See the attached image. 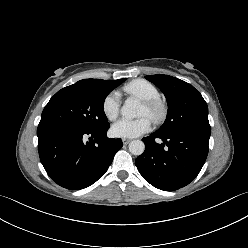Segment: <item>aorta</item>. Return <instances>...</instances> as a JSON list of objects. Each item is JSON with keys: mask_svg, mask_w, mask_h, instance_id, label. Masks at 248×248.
I'll return each mask as SVG.
<instances>
[{"mask_svg": "<svg viewBox=\"0 0 248 248\" xmlns=\"http://www.w3.org/2000/svg\"><path fill=\"white\" fill-rule=\"evenodd\" d=\"M122 115L126 118H135L140 114V103L137 99L128 98L121 109ZM131 154L139 156L145 150V144L141 140H133L129 143Z\"/></svg>", "mask_w": 248, "mask_h": 248, "instance_id": "762f6f07", "label": "aorta"}]
</instances>
